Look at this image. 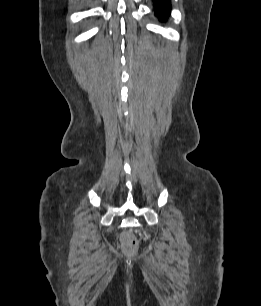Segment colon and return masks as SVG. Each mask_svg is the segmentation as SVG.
Returning <instances> with one entry per match:
<instances>
[{"instance_id":"colon-1","label":"colon","mask_w":261,"mask_h":306,"mask_svg":"<svg viewBox=\"0 0 261 306\" xmlns=\"http://www.w3.org/2000/svg\"><path fill=\"white\" fill-rule=\"evenodd\" d=\"M121 245L124 251L133 252L137 248V241L132 234L126 232L121 236Z\"/></svg>"}]
</instances>
